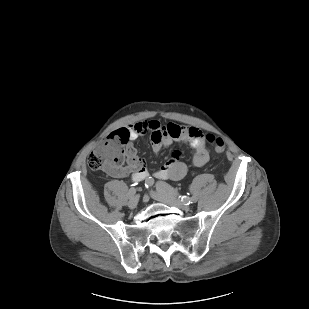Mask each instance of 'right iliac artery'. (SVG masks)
<instances>
[{
  "label": "right iliac artery",
  "mask_w": 309,
  "mask_h": 309,
  "mask_svg": "<svg viewBox=\"0 0 309 309\" xmlns=\"http://www.w3.org/2000/svg\"><path fill=\"white\" fill-rule=\"evenodd\" d=\"M154 184V179H152L151 177L147 178L146 181H145V186L148 188V187H151L152 185ZM131 200H134V201H139V196H134V197H130Z\"/></svg>",
  "instance_id": "obj_1"
}]
</instances>
